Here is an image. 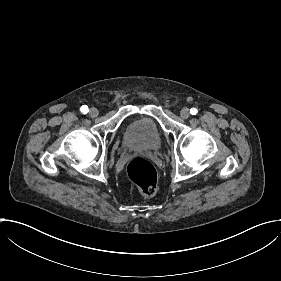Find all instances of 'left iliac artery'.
Here are the masks:
<instances>
[{"label": "left iliac artery", "instance_id": "1", "mask_svg": "<svg viewBox=\"0 0 281 281\" xmlns=\"http://www.w3.org/2000/svg\"><path fill=\"white\" fill-rule=\"evenodd\" d=\"M197 112H198V111H197L196 108H191V109H190V113H191L192 115H196Z\"/></svg>", "mask_w": 281, "mask_h": 281}]
</instances>
